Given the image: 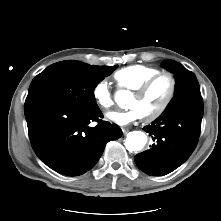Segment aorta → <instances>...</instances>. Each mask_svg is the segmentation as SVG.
Here are the masks:
<instances>
[{
  "label": "aorta",
  "mask_w": 221,
  "mask_h": 221,
  "mask_svg": "<svg viewBox=\"0 0 221 221\" xmlns=\"http://www.w3.org/2000/svg\"><path fill=\"white\" fill-rule=\"evenodd\" d=\"M129 95V91L121 90L116 92L115 101L121 107H125V99ZM147 142V136L141 131H132L127 134L126 148L129 151H137L142 149Z\"/></svg>",
  "instance_id": "762f6f07"
}]
</instances>
